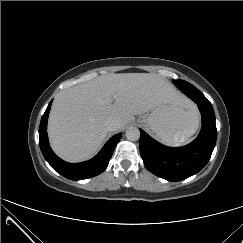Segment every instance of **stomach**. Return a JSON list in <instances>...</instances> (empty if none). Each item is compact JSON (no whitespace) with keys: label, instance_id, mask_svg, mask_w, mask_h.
Masks as SVG:
<instances>
[{"label":"stomach","instance_id":"stomach-1","mask_svg":"<svg viewBox=\"0 0 243 243\" xmlns=\"http://www.w3.org/2000/svg\"><path fill=\"white\" fill-rule=\"evenodd\" d=\"M138 122L162 142L174 144L188 140L195 133L199 117L191 102L188 106L162 103L139 116Z\"/></svg>","mask_w":243,"mask_h":243}]
</instances>
